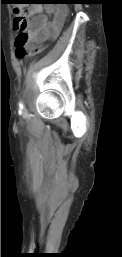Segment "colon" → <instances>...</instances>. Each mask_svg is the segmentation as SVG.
Segmentation results:
<instances>
[{
    "mask_svg": "<svg viewBox=\"0 0 122 257\" xmlns=\"http://www.w3.org/2000/svg\"><path fill=\"white\" fill-rule=\"evenodd\" d=\"M24 5H18L17 9L14 12V27L17 30V35L15 38V47L16 55L19 59H23L26 55L25 44L27 41V29H28V20L25 12ZM47 47V44H41L35 46L31 53L38 54L42 52Z\"/></svg>",
    "mask_w": 122,
    "mask_h": 257,
    "instance_id": "obj_1",
    "label": "colon"
}]
</instances>
